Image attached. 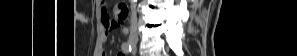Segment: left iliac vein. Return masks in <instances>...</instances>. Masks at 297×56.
<instances>
[{
  "label": "left iliac vein",
  "mask_w": 297,
  "mask_h": 56,
  "mask_svg": "<svg viewBox=\"0 0 297 56\" xmlns=\"http://www.w3.org/2000/svg\"><path fill=\"white\" fill-rule=\"evenodd\" d=\"M132 46H133V52H135L136 51V45L134 44Z\"/></svg>",
  "instance_id": "left-iliac-vein-1"
}]
</instances>
